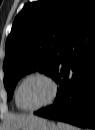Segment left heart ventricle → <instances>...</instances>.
I'll return each mask as SVG.
<instances>
[{"label": "left heart ventricle", "instance_id": "1", "mask_svg": "<svg viewBox=\"0 0 95 130\" xmlns=\"http://www.w3.org/2000/svg\"><path fill=\"white\" fill-rule=\"evenodd\" d=\"M50 94L51 87L46 80L32 78L26 81L21 87L19 101L26 108H34L46 102Z\"/></svg>", "mask_w": 95, "mask_h": 130}]
</instances>
